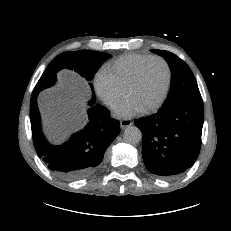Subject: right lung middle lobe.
I'll return each instance as SVG.
<instances>
[{"instance_id":"obj_1","label":"right lung middle lobe","mask_w":231,"mask_h":231,"mask_svg":"<svg viewBox=\"0 0 231 231\" xmlns=\"http://www.w3.org/2000/svg\"><path fill=\"white\" fill-rule=\"evenodd\" d=\"M110 57L107 53L92 50L65 52L54 58L34 88V93L39 94L43 89L49 88L56 82V73L67 68L79 73L88 81L92 80L100 66ZM91 85V84H90ZM93 90V88H92ZM95 96L93 95V100Z\"/></svg>"}]
</instances>
